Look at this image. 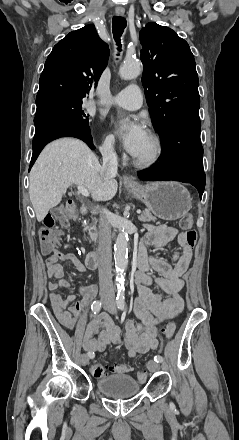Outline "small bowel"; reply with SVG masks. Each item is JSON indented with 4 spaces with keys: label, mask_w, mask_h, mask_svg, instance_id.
<instances>
[{
    "label": "small bowel",
    "mask_w": 239,
    "mask_h": 440,
    "mask_svg": "<svg viewBox=\"0 0 239 440\" xmlns=\"http://www.w3.org/2000/svg\"><path fill=\"white\" fill-rule=\"evenodd\" d=\"M177 239L178 246L173 255V265L166 261L147 255V245L159 249L168 242ZM192 247L188 244L186 233L168 225H149L147 234L139 244L138 267L134 281L138 289L134 311L140 323L128 321L126 337L121 341V328L114 323L108 313H102L87 322L83 336V348L92 353L103 351L109 344L121 343L131 357L144 354L157 347L158 325L177 317L184 307L180 292L184 286L182 279L192 258ZM47 273L51 281L48 283L50 298L54 312L63 326L74 329L85 309V302L67 307L75 299L70 294L64 297L59 290L69 287L63 279L64 271L61 263L72 262L80 272L85 266L72 253L52 250L47 253ZM155 270L161 277H154L150 271ZM156 284L162 292H153L150 285ZM86 299L93 295V289L82 287ZM163 294H166L164 296Z\"/></svg>",
    "instance_id": "small-bowel-1"
}]
</instances>
